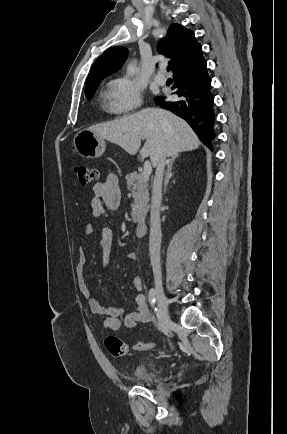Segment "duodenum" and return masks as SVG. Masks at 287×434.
Returning a JSON list of instances; mask_svg holds the SVG:
<instances>
[{"mask_svg": "<svg viewBox=\"0 0 287 434\" xmlns=\"http://www.w3.org/2000/svg\"><path fill=\"white\" fill-rule=\"evenodd\" d=\"M147 233V223L146 221L142 220L138 223L136 228V237L137 238H143Z\"/></svg>", "mask_w": 287, "mask_h": 434, "instance_id": "obj_1", "label": "duodenum"}]
</instances>
